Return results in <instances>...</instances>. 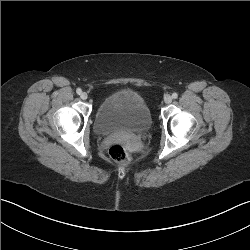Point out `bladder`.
<instances>
[{
  "label": "bladder",
  "instance_id": "bladder-1",
  "mask_svg": "<svg viewBox=\"0 0 250 250\" xmlns=\"http://www.w3.org/2000/svg\"><path fill=\"white\" fill-rule=\"evenodd\" d=\"M152 125L149 106L139 94L129 90L105 98L94 116V130L99 135L141 134L149 131Z\"/></svg>",
  "mask_w": 250,
  "mask_h": 250
}]
</instances>
